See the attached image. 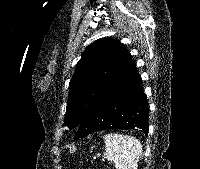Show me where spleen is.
I'll use <instances>...</instances> for the list:
<instances>
[{"label":"spleen","mask_w":200,"mask_h":169,"mask_svg":"<svg viewBox=\"0 0 200 169\" xmlns=\"http://www.w3.org/2000/svg\"><path fill=\"white\" fill-rule=\"evenodd\" d=\"M107 160L114 162L116 169H137L142 153L140 141L124 134H107L104 136Z\"/></svg>","instance_id":"spleen-1"}]
</instances>
